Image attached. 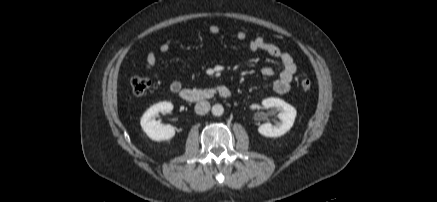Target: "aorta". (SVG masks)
<instances>
[{
  "label": "aorta",
  "instance_id": "762f6f07",
  "mask_svg": "<svg viewBox=\"0 0 437 202\" xmlns=\"http://www.w3.org/2000/svg\"><path fill=\"white\" fill-rule=\"evenodd\" d=\"M211 111L214 116H221L224 113V108L221 104H215Z\"/></svg>",
  "mask_w": 437,
  "mask_h": 202
}]
</instances>
